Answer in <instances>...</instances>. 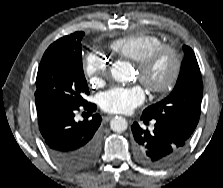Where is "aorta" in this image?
Masks as SVG:
<instances>
[{
  "mask_svg": "<svg viewBox=\"0 0 223 188\" xmlns=\"http://www.w3.org/2000/svg\"><path fill=\"white\" fill-rule=\"evenodd\" d=\"M111 74L117 82H128L133 76V68L126 61H116L111 68ZM127 126L126 119L121 116H116L110 121V127L115 132L125 131Z\"/></svg>",
  "mask_w": 223,
  "mask_h": 188,
  "instance_id": "762f6f07",
  "label": "aorta"
}]
</instances>
